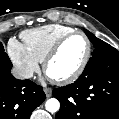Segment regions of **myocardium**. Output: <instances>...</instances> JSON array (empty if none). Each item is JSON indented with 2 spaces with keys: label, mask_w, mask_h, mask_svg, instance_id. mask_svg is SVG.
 Here are the masks:
<instances>
[{
  "label": "myocardium",
  "mask_w": 119,
  "mask_h": 119,
  "mask_svg": "<svg viewBox=\"0 0 119 119\" xmlns=\"http://www.w3.org/2000/svg\"><path fill=\"white\" fill-rule=\"evenodd\" d=\"M77 35L82 36L85 39L86 44H87V50H86V53H85V56H84L82 62L77 67V69L74 72H72L71 74H69L68 76H65L62 78H51L47 73V68H48L49 63L56 57V55L60 51L63 44L67 40L72 38L73 36H77ZM91 54H92V43H91L89 37L82 31H72V32L64 35L63 37H61L53 45V47L49 50V52L47 53V55L45 56V58L43 60V70L51 78V80L53 82H55L57 84H69V83H72L73 81H75L76 79H78L80 77V75L84 72V70L91 58Z\"/></svg>",
  "instance_id": "myocardium-1"
}]
</instances>
